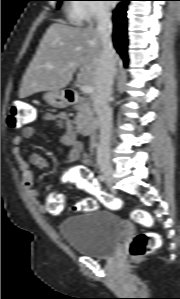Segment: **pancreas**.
I'll list each match as a JSON object with an SVG mask.
<instances>
[{
  "label": "pancreas",
  "instance_id": "cf45deb5",
  "mask_svg": "<svg viewBox=\"0 0 180 299\" xmlns=\"http://www.w3.org/2000/svg\"><path fill=\"white\" fill-rule=\"evenodd\" d=\"M76 109L78 111L75 123L78 126H89L94 119V112L89 101L80 102Z\"/></svg>",
  "mask_w": 180,
  "mask_h": 299
}]
</instances>
